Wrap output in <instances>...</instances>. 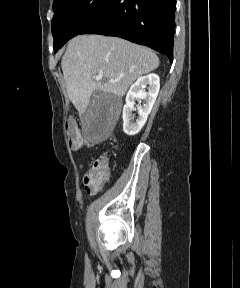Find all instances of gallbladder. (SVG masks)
<instances>
[{"mask_svg": "<svg viewBox=\"0 0 240 288\" xmlns=\"http://www.w3.org/2000/svg\"><path fill=\"white\" fill-rule=\"evenodd\" d=\"M116 101L106 93L95 91L91 101L82 114L83 124L86 126L95 119L108 120L116 110Z\"/></svg>", "mask_w": 240, "mask_h": 288, "instance_id": "obj_1", "label": "gallbladder"}]
</instances>
